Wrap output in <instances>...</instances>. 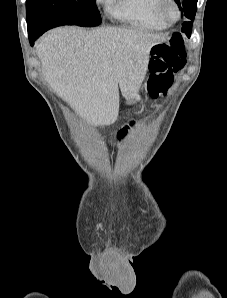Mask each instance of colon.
Wrapping results in <instances>:
<instances>
[{
	"label": "colon",
	"instance_id": "obj_1",
	"mask_svg": "<svg viewBox=\"0 0 227 298\" xmlns=\"http://www.w3.org/2000/svg\"><path fill=\"white\" fill-rule=\"evenodd\" d=\"M186 57L184 40L179 34H173L168 41L156 44L152 48V65L157 75L152 76L148 83L150 96L156 98L167 92L174 76L184 68ZM132 124L133 122L130 123ZM127 127L122 129V135L126 133Z\"/></svg>",
	"mask_w": 227,
	"mask_h": 298
}]
</instances>
